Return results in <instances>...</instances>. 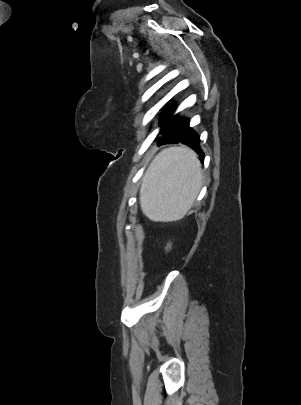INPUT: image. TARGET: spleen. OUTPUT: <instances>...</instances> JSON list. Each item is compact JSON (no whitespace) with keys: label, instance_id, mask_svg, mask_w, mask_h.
<instances>
[{"label":"spleen","instance_id":"1","mask_svg":"<svg viewBox=\"0 0 301 405\" xmlns=\"http://www.w3.org/2000/svg\"><path fill=\"white\" fill-rule=\"evenodd\" d=\"M202 185L197 155L186 147H172L152 161L140 189L143 213L152 221L182 219L192 207Z\"/></svg>","mask_w":301,"mask_h":405}]
</instances>
